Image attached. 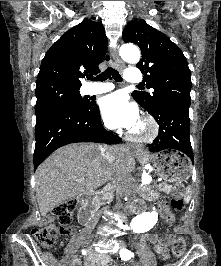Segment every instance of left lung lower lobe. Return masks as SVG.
I'll return each instance as SVG.
<instances>
[{
  "instance_id": "1",
  "label": "left lung lower lobe",
  "mask_w": 221,
  "mask_h": 266,
  "mask_svg": "<svg viewBox=\"0 0 221 266\" xmlns=\"http://www.w3.org/2000/svg\"><path fill=\"white\" fill-rule=\"evenodd\" d=\"M159 124V134L149 145L150 151H179L194 161L190 143L189 106L177 103L164 105L151 114Z\"/></svg>"
}]
</instances>
